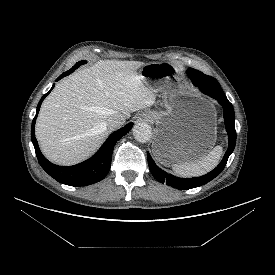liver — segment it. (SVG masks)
Wrapping results in <instances>:
<instances>
[{
  "label": "liver",
  "instance_id": "liver-1",
  "mask_svg": "<svg viewBox=\"0 0 275 275\" xmlns=\"http://www.w3.org/2000/svg\"><path fill=\"white\" fill-rule=\"evenodd\" d=\"M139 61L100 60L60 81L43 102L36 137L47 159L77 164L91 156L109 134L114 114L151 107L155 93L137 72Z\"/></svg>",
  "mask_w": 275,
  "mask_h": 275
}]
</instances>
